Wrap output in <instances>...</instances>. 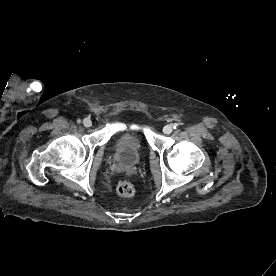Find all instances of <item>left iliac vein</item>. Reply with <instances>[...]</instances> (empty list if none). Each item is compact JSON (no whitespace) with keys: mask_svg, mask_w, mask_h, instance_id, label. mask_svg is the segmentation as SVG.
Returning <instances> with one entry per match:
<instances>
[{"mask_svg":"<svg viewBox=\"0 0 276 276\" xmlns=\"http://www.w3.org/2000/svg\"><path fill=\"white\" fill-rule=\"evenodd\" d=\"M172 130H173V127H172V125H170V124L164 126V128H163V132H164L165 134H170V133L172 132Z\"/></svg>","mask_w":276,"mask_h":276,"instance_id":"left-iliac-vein-1","label":"left iliac vein"}]
</instances>
